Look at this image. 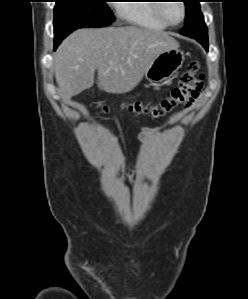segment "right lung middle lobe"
I'll use <instances>...</instances> for the list:
<instances>
[{
  "label": "right lung middle lobe",
  "instance_id": "obj_1",
  "mask_svg": "<svg viewBox=\"0 0 248 299\" xmlns=\"http://www.w3.org/2000/svg\"><path fill=\"white\" fill-rule=\"evenodd\" d=\"M55 47L72 31L82 27H103L114 21L107 0H55Z\"/></svg>",
  "mask_w": 248,
  "mask_h": 299
}]
</instances>
